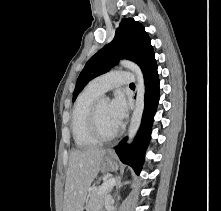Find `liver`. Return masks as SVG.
Masks as SVG:
<instances>
[{"mask_svg": "<svg viewBox=\"0 0 221 211\" xmlns=\"http://www.w3.org/2000/svg\"><path fill=\"white\" fill-rule=\"evenodd\" d=\"M107 151L99 148L73 150L66 172L63 211H82L88 189L100 171Z\"/></svg>", "mask_w": 221, "mask_h": 211, "instance_id": "obj_1", "label": "liver"}]
</instances>
